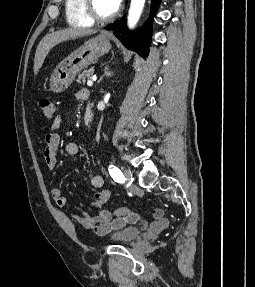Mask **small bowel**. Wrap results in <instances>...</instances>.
Instances as JSON below:
<instances>
[{
    "label": "small bowel",
    "instance_id": "1",
    "mask_svg": "<svg viewBox=\"0 0 255 287\" xmlns=\"http://www.w3.org/2000/svg\"><path fill=\"white\" fill-rule=\"evenodd\" d=\"M83 93H78V98H82ZM62 123L61 116H57L49 132L45 135V150L44 160L46 167L49 170H53L57 164V156L60 147V136L56 130ZM64 153L68 156H75L80 153V146L75 142H68L64 146ZM91 185L99 189L94 195L93 207L97 212L93 215H73L69 218L62 208L66 204V198L62 194L61 190L57 187L51 190V195L55 205L59 209V216L61 220L71 225L72 222L82 225L84 228L92 229L98 235H104L112 230L125 226L127 224H140L145 230H149L153 233H160L166 229L169 225V219L165 216L162 209H155L152 213L153 220L148 222L142 215L136 212H131L124 217H113V214L109 210H103L102 207L109 201L111 193L108 189H104V179L100 173L94 172L90 175Z\"/></svg>",
    "mask_w": 255,
    "mask_h": 287
}]
</instances>
